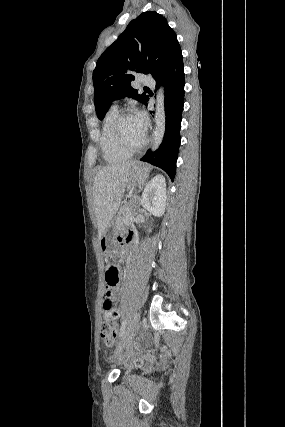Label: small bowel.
I'll use <instances>...</instances> for the list:
<instances>
[{"label": "small bowel", "mask_w": 285, "mask_h": 427, "mask_svg": "<svg viewBox=\"0 0 285 427\" xmlns=\"http://www.w3.org/2000/svg\"><path fill=\"white\" fill-rule=\"evenodd\" d=\"M135 236H136V232L127 231L126 235L121 237V241L126 244L130 243L133 240V238H135ZM119 299H120V292L118 287L112 289L110 294L105 293L102 301L103 311L105 312L107 303H111L112 306L114 307L119 302Z\"/></svg>", "instance_id": "c3829d8e"}]
</instances>
